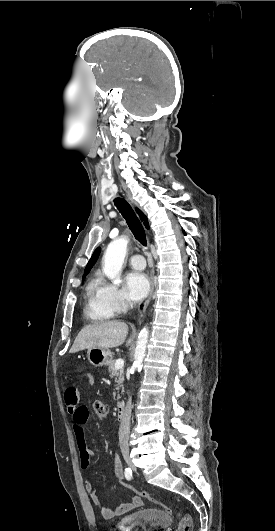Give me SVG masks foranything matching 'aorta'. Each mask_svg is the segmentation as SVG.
Returning a JSON list of instances; mask_svg holds the SVG:
<instances>
[{
    "instance_id": "obj_1",
    "label": "aorta",
    "mask_w": 275,
    "mask_h": 531,
    "mask_svg": "<svg viewBox=\"0 0 275 531\" xmlns=\"http://www.w3.org/2000/svg\"><path fill=\"white\" fill-rule=\"evenodd\" d=\"M128 243L129 241L127 237H121V239H117V241H112V243H109L103 255L102 271L104 275L108 277V279H111V281L117 279L122 269V265L127 253ZM148 339L149 331L147 327H144V329H142V331L139 333L134 353L133 367L134 369H137V371H141L143 367Z\"/></svg>"
}]
</instances>
